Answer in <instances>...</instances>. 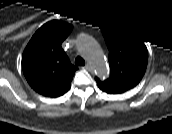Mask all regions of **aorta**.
<instances>
[{"label": "aorta", "instance_id": "obj_1", "mask_svg": "<svg viewBox=\"0 0 172 134\" xmlns=\"http://www.w3.org/2000/svg\"><path fill=\"white\" fill-rule=\"evenodd\" d=\"M83 52L95 74L99 78H106L109 74V69L100 46L95 41L85 40L83 43Z\"/></svg>", "mask_w": 172, "mask_h": 134}]
</instances>
